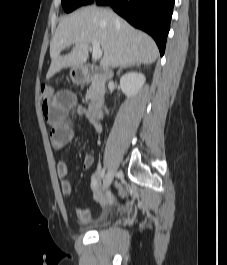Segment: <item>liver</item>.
Listing matches in <instances>:
<instances>
[{
  "mask_svg": "<svg viewBox=\"0 0 227 265\" xmlns=\"http://www.w3.org/2000/svg\"><path fill=\"white\" fill-rule=\"evenodd\" d=\"M92 42L104 52L100 66L104 70L125 63L152 64L158 56L154 40L135 29L110 10L89 6L63 17L50 42L51 64L46 75L50 79L63 68L84 65ZM74 45L62 56L61 51Z\"/></svg>",
  "mask_w": 227,
  "mask_h": 265,
  "instance_id": "6515ba94",
  "label": "liver"
}]
</instances>
